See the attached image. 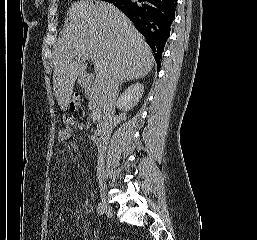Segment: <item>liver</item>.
<instances>
[{"label": "liver", "mask_w": 257, "mask_h": 240, "mask_svg": "<svg viewBox=\"0 0 257 240\" xmlns=\"http://www.w3.org/2000/svg\"><path fill=\"white\" fill-rule=\"evenodd\" d=\"M86 54L93 55L96 79L104 85L114 74L120 82L143 78L154 65L150 47L118 8L106 2L73 3L54 54L53 89L62 110L76 79L86 77Z\"/></svg>", "instance_id": "liver-1"}]
</instances>
